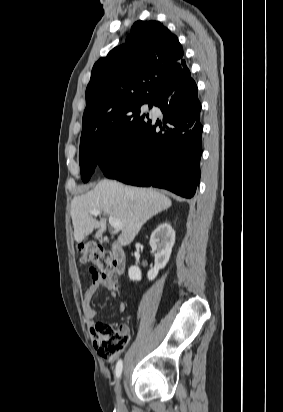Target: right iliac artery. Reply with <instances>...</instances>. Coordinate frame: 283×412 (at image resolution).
I'll list each match as a JSON object with an SVG mask.
<instances>
[{"mask_svg":"<svg viewBox=\"0 0 283 412\" xmlns=\"http://www.w3.org/2000/svg\"><path fill=\"white\" fill-rule=\"evenodd\" d=\"M122 368H123V363H122V360L120 359L116 364V369H115L116 378H120L121 373H122Z\"/></svg>","mask_w":283,"mask_h":412,"instance_id":"82829eb1","label":"right iliac artery"}]
</instances>
